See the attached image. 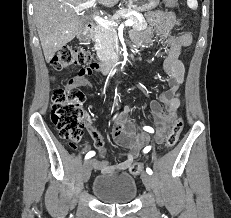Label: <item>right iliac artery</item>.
Instances as JSON below:
<instances>
[{"mask_svg": "<svg viewBox=\"0 0 231 218\" xmlns=\"http://www.w3.org/2000/svg\"><path fill=\"white\" fill-rule=\"evenodd\" d=\"M94 155H95V152L94 151H90V152H88L86 154L85 159H89V158L93 157Z\"/></svg>", "mask_w": 231, "mask_h": 218, "instance_id": "82829eb1", "label": "right iliac artery"}]
</instances>
